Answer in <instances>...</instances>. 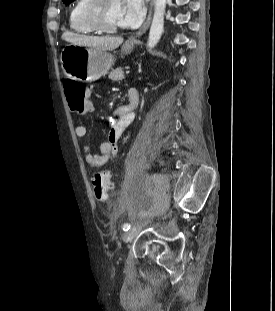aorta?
<instances>
[{"label": "aorta", "instance_id": "aorta-1", "mask_svg": "<svg viewBox=\"0 0 275 311\" xmlns=\"http://www.w3.org/2000/svg\"><path fill=\"white\" fill-rule=\"evenodd\" d=\"M166 1L167 0H155L154 16L147 42L149 48H153L157 45L163 33Z\"/></svg>", "mask_w": 275, "mask_h": 311}]
</instances>
